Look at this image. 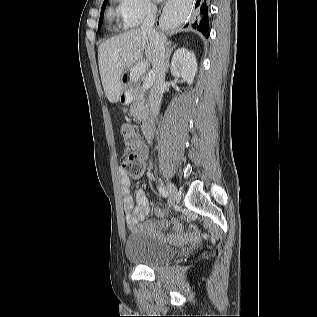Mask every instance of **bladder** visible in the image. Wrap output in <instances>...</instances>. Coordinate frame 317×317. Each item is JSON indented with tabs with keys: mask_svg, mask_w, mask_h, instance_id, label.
Returning <instances> with one entry per match:
<instances>
[{
	"mask_svg": "<svg viewBox=\"0 0 317 317\" xmlns=\"http://www.w3.org/2000/svg\"><path fill=\"white\" fill-rule=\"evenodd\" d=\"M124 250L128 261L148 267L164 265L177 255L174 247L161 243L141 231H132L125 240Z\"/></svg>",
	"mask_w": 317,
	"mask_h": 317,
	"instance_id": "bladder-1",
	"label": "bladder"
}]
</instances>
